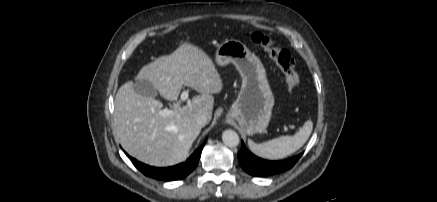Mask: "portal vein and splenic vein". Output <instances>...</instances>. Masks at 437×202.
I'll list each match as a JSON object with an SVG mask.
<instances>
[{"instance_id":"1","label":"portal vein and splenic vein","mask_w":437,"mask_h":202,"mask_svg":"<svg viewBox=\"0 0 437 202\" xmlns=\"http://www.w3.org/2000/svg\"><path fill=\"white\" fill-rule=\"evenodd\" d=\"M188 96H189V93H188V91H183L182 93H181V100L182 101H185V100H187L188 99ZM172 113V110H169V109H163L162 111H160V114L162 115V116H168V115H170Z\"/></svg>"}]
</instances>
